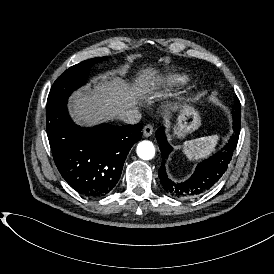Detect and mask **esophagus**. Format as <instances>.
I'll list each match as a JSON object with an SVG mask.
<instances>
[{"label":"esophagus","instance_id":"esophagus-1","mask_svg":"<svg viewBox=\"0 0 274 274\" xmlns=\"http://www.w3.org/2000/svg\"><path fill=\"white\" fill-rule=\"evenodd\" d=\"M153 133H154V128L151 124H147V125L144 126L143 135L145 137H150V136L153 135Z\"/></svg>","mask_w":274,"mask_h":274}]
</instances>
